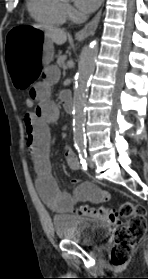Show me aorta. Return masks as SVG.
<instances>
[{
  "instance_id": "762f6f07",
  "label": "aorta",
  "mask_w": 148,
  "mask_h": 279,
  "mask_svg": "<svg viewBox=\"0 0 148 279\" xmlns=\"http://www.w3.org/2000/svg\"><path fill=\"white\" fill-rule=\"evenodd\" d=\"M98 55V44L92 42L83 51L81 64L78 68L73 96V130L76 145L85 143L84 124L86 121L85 104L88 94V84L95 70Z\"/></svg>"
}]
</instances>
